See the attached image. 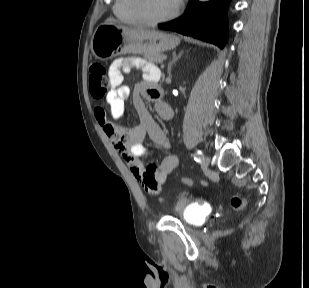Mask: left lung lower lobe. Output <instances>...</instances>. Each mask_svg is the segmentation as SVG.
Segmentation results:
<instances>
[{"instance_id": "obj_1", "label": "left lung lower lobe", "mask_w": 309, "mask_h": 288, "mask_svg": "<svg viewBox=\"0 0 309 288\" xmlns=\"http://www.w3.org/2000/svg\"><path fill=\"white\" fill-rule=\"evenodd\" d=\"M229 2L230 0H211L202 3L189 0L183 16L158 24V27L199 38L223 48L228 37L226 12Z\"/></svg>"}]
</instances>
